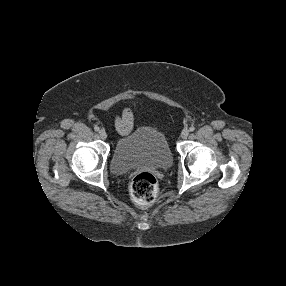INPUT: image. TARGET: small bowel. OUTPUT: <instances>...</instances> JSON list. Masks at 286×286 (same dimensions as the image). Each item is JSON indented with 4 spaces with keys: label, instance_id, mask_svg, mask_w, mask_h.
I'll use <instances>...</instances> for the list:
<instances>
[{
    "label": "small bowel",
    "instance_id": "1",
    "mask_svg": "<svg viewBox=\"0 0 286 286\" xmlns=\"http://www.w3.org/2000/svg\"><path fill=\"white\" fill-rule=\"evenodd\" d=\"M116 127L119 133H128L134 124V113L131 109H125L120 116L116 118Z\"/></svg>",
    "mask_w": 286,
    "mask_h": 286
}]
</instances>
